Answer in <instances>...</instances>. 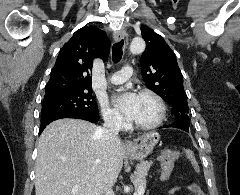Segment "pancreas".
I'll return each instance as SVG.
<instances>
[{"instance_id": "pancreas-1", "label": "pancreas", "mask_w": 240, "mask_h": 195, "mask_svg": "<svg viewBox=\"0 0 240 195\" xmlns=\"http://www.w3.org/2000/svg\"><path fill=\"white\" fill-rule=\"evenodd\" d=\"M152 163V159H150V161H140V163H137L136 171H134V175H132L131 177L135 189H140V187H144L146 183V175H148V171Z\"/></svg>"}]
</instances>
